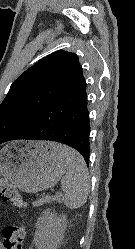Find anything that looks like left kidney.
Segmentation results:
<instances>
[{"label": "left kidney", "instance_id": "1", "mask_svg": "<svg viewBox=\"0 0 135 249\" xmlns=\"http://www.w3.org/2000/svg\"><path fill=\"white\" fill-rule=\"evenodd\" d=\"M67 228V219L64 214L46 210L36 222V231L33 239L36 249H57L64 237Z\"/></svg>", "mask_w": 135, "mask_h": 249}]
</instances>
